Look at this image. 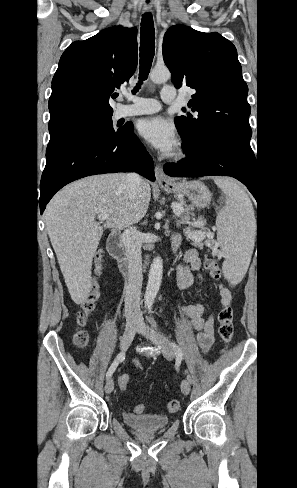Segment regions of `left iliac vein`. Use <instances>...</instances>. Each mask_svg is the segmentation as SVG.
Instances as JSON below:
<instances>
[{
  "instance_id": "left-iliac-vein-1",
  "label": "left iliac vein",
  "mask_w": 297,
  "mask_h": 488,
  "mask_svg": "<svg viewBox=\"0 0 297 488\" xmlns=\"http://www.w3.org/2000/svg\"><path fill=\"white\" fill-rule=\"evenodd\" d=\"M137 331L139 334L150 340L153 344L158 346L163 353V356L167 360H172L174 358V349L169 341L162 335L157 332H149L147 331V327L143 321L140 319L138 321ZM191 389V382L188 379H184L181 383V391L184 395H188Z\"/></svg>"
}]
</instances>
